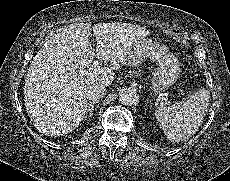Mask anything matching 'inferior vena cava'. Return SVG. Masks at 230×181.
<instances>
[{"label":"inferior vena cava","mask_w":230,"mask_h":181,"mask_svg":"<svg viewBox=\"0 0 230 181\" xmlns=\"http://www.w3.org/2000/svg\"><path fill=\"white\" fill-rule=\"evenodd\" d=\"M105 94H106V88L102 85H96L89 88L86 91L85 96L88 100L98 101L101 98H103Z\"/></svg>","instance_id":"1"}]
</instances>
